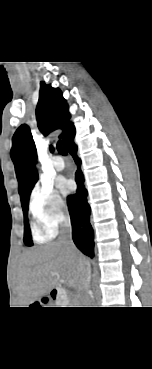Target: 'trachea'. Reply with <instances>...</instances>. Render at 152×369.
<instances>
[{
	"instance_id": "trachea-1",
	"label": "trachea",
	"mask_w": 152,
	"mask_h": 369,
	"mask_svg": "<svg viewBox=\"0 0 152 369\" xmlns=\"http://www.w3.org/2000/svg\"><path fill=\"white\" fill-rule=\"evenodd\" d=\"M57 150L61 155L66 156L67 155V148L66 145L63 141H59L57 143Z\"/></svg>"
}]
</instances>
